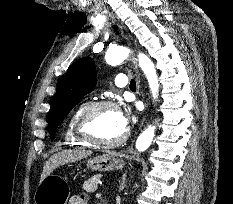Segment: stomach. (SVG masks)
<instances>
[{
    "label": "stomach",
    "mask_w": 233,
    "mask_h": 204,
    "mask_svg": "<svg viewBox=\"0 0 233 204\" xmlns=\"http://www.w3.org/2000/svg\"><path fill=\"white\" fill-rule=\"evenodd\" d=\"M125 155L106 152L87 160V167L93 171L120 170L125 165ZM69 197L67 182L55 175H48L38 185L34 194L35 204H66Z\"/></svg>",
    "instance_id": "1"
}]
</instances>
